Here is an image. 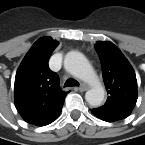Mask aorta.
I'll use <instances>...</instances> for the list:
<instances>
[{"label":"aorta","mask_w":145,"mask_h":145,"mask_svg":"<svg viewBox=\"0 0 145 145\" xmlns=\"http://www.w3.org/2000/svg\"><path fill=\"white\" fill-rule=\"evenodd\" d=\"M65 68L75 77L92 85L85 94V99L92 107L100 106L105 97V90L97 80L96 74L87 61L79 52H70L65 57Z\"/></svg>","instance_id":"762f6f07"}]
</instances>
